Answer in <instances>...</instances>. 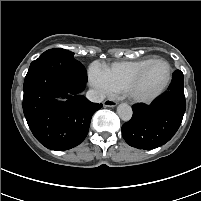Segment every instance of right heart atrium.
Wrapping results in <instances>:
<instances>
[{
  "instance_id": "obj_1",
  "label": "right heart atrium",
  "mask_w": 201,
  "mask_h": 201,
  "mask_svg": "<svg viewBox=\"0 0 201 201\" xmlns=\"http://www.w3.org/2000/svg\"><path fill=\"white\" fill-rule=\"evenodd\" d=\"M89 81L100 97L115 93L105 70L99 64H93L89 68Z\"/></svg>"
}]
</instances>
